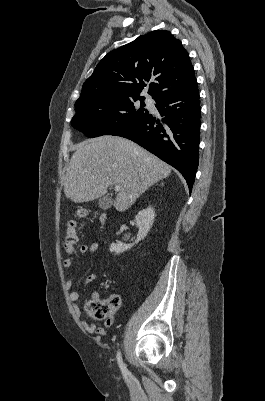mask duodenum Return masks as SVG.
Here are the masks:
<instances>
[{
  "label": "duodenum",
  "mask_w": 265,
  "mask_h": 401,
  "mask_svg": "<svg viewBox=\"0 0 265 401\" xmlns=\"http://www.w3.org/2000/svg\"><path fill=\"white\" fill-rule=\"evenodd\" d=\"M100 221H101V223H104L106 221V215L105 214L101 215Z\"/></svg>",
  "instance_id": "duodenum-1"
}]
</instances>
